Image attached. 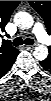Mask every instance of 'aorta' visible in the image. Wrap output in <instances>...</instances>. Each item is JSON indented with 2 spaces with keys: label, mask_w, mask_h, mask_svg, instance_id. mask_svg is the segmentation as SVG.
Instances as JSON below:
<instances>
[{
  "label": "aorta",
  "mask_w": 51,
  "mask_h": 101,
  "mask_svg": "<svg viewBox=\"0 0 51 101\" xmlns=\"http://www.w3.org/2000/svg\"><path fill=\"white\" fill-rule=\"evenodd\" d=\"M14 22L21 30H28L33 26L34 20L27 12H18L14 17ZM48 55V49L43 45L35 47L33 56L37 60H44Z\"/></svg>",
  "instance_id": "1"
}]
</instances>
